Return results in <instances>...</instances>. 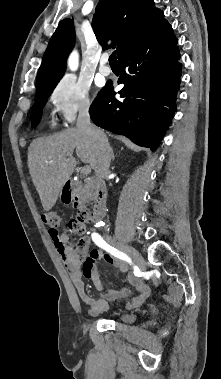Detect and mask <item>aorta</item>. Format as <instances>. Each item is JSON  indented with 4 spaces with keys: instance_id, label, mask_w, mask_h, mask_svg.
Instances as JSON below:
<instances>
[{
    "instance_id": "aorta-1",
    "label": "aorta",
    "mask_w": 221,
    "mask_h": 379,
    "mask_svg": "<svg viewBox=\"0 0 221 379\" xmlns=\"http://www.w3.org/2000/svg\"><path fill=\"white\" fill-rule=\"evenodd\" d=\"M68 64H69V67L71 70H76L77 66H78V55L76 52H74L70 58H69V61H68Z\"/></svg>"
}]
</instances>
